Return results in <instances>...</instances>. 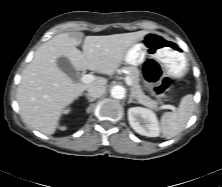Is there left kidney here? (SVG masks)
I'll return each mask as SVG.
<instances>
[{
  "label": "left kidney",
  "instance_id": "obj_1",
  "mask_svg": "<svg viewBox=\"0 0 222 187\" xmlns=\"http://www.w3.org/2000/svg\"><path fill=\"white\" fill-rule=\"evenodd\" d=\"M128 120L130 126L137 133L147 137H158L160 126L156 114L143 107H132L128 109Z\"/></svg>",
  "mask_w": 222,
  "mask_h": 187
}]
</instances>
